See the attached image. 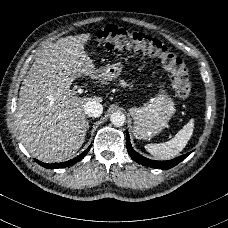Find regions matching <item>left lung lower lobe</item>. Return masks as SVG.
Returning a JSON list of instances; mask_svg holds the SVG:
<instances>
[{"instance_id": "0a47b994", "label": "left lung lower lobe", "mask_w": 228, "mask_h": 228, "mask_svg": "<svg viewBox=\"0 0 228 228\" xmlns=\"http://www.w3.org/2000/svg\"><path fill=\"white\" fill-rule=\"evenodd\" d=\"M126 146H127V150L129 155L131 156V158L133 160H135L136 162L147 166V167H152V168H157V169H170L174 166H176L178 163H180L183 159H185L191 152L179 156L175 159L169 160V161H154V160H150L148 158H145L144 156L138 154L131 146L130 143V138H129V133L128 131L126 132Z\"/></svg>"}]
</instances>
